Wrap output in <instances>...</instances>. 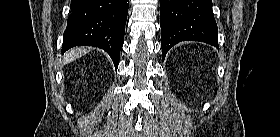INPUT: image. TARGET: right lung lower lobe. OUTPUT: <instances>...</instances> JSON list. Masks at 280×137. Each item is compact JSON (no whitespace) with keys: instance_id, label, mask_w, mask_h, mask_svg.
Instances as JSON below:
<instances>
[{"instance_id":"right-lung-lower-lobe-1","label":"right lung lower lobe","mask_w":280,"mask_h":137,"mask_svg":"<svg viewBox=\"0 0 280 137\" xmlns=\"http://www.w3.org/2000/svg\"><path fill=\"white\" fill-rule=\"evenodd\" d=\"M129 0H71L62 52L80 45L106 51L117 69Z\"/></svg>"}]
</instances>
